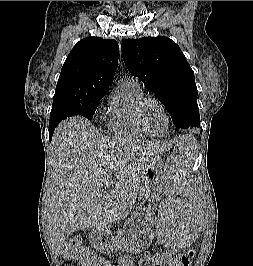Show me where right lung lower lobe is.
<instances>
[{"label": "right lung lower lobe", "instance_id": "obj_1", "mask_svg": "<svg viewBox=\"0 0 253 266\" xmlns=\"http://www.w3.org/2000/svg\"><path fill=\"white\" fill-rule=\"evenodd\" d=\"M59 123H53V124H50L49 123V139L51 141V138H52V135L54 133V130L56 128V126L58 125Z\"/></svg>", "mask_w": 253, "mask_h": 266}]
</instances>
